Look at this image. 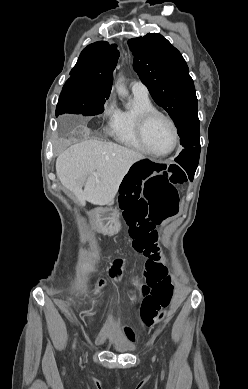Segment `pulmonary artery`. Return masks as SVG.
I'll return each instance as SVG.
<instances>
[{"instance_id":"obj_1","label":"pulmonary artery","mask_w":248,"mask_h":389,"mask_svg":"<svg viewBox=\"0 0 248 389\" xmlns=\"http://www.w3.org/2000/svg\"><path fill=\"white\" fill-rule=\"evenodd\" d=\"M132 93L142 97H148L147 87L140 81H133L131 83Z\"/></svg>"}]
</instances>
